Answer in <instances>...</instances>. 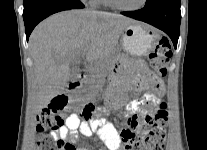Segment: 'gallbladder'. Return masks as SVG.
I'll use <instances>...</instances> for the list:
<instances>
[{
    "label": "gallbladder",
    "mask_w": 207,
    "mask_h": 150,
    "mask_svg": "<svg viewBox=\"0 0 207 150\" xmlns=\"http://www.w3.org/2000/svg\"><path fill=\"white\" fill-rule=\"evenodd\" d=\"M77 77V72L74 69H70V80H74Z\"/></svg>",
    "instance_id": "gallbladder-1"
}]
</instances>
